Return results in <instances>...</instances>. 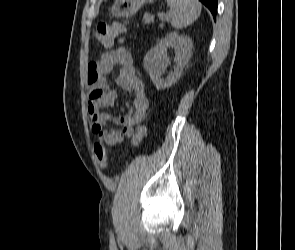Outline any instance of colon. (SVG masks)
I'll return each instance as SVG.
<instances>
[{
	"mask_svg": "<svg viewBox=\"0 0 295 250\" xmlns=\"http://www.w3.org/2000/svg\"><path fill=\"white\" fill-rule=\"evenodd\" d=\"M125 29V23L119 18H115L110 22H100L94 28V36L104 46H110L115 39ZM146 129L144 126H139L133 136L132 143L137 145L141 142L145 135ZM94 151L97 161L101 167H105L108 162V153L104 145L95 143Z\"/></svg>",
	"mask_w": 295,
	"mask_h": 250,
	"instance_id": "obj_1",
	"label": "colon"
}]
</instances>
